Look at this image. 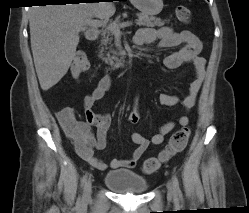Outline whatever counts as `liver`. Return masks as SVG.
I'll use <instances>...</instances> for the list:
<instances>
[{
  "mask_svg": "<svg viewBox=\"0 0 249 213\" xmlns=\"http://www.w3.org/2000/svg\"><path fill=\"white\" fill-rule=\"evenodd\" d=\"M29 13L34 65L40 86L47 91L67 73L86 21L111 17L115 6L112 2L33 6Z\"/></svg>",
  "mask_w": 249,
  "mask_h": 213,
  "instance_id": "1",
  "label": "liver"
}]
</instances>
